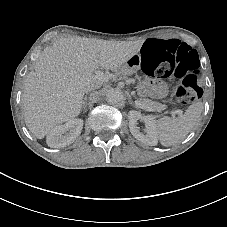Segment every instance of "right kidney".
<instances>
[{
	"label": "right kidney",
	"mask_w": 227,
	"mask_h": 227,
	"mask_svg": "<svg viewBox=\"0 0 227 227\" xmlns=\"http://www.w3.org/2000/svg\"><path fill=\"white\" fill-rule=\"evenodd\" d=\"M82 119H71L64 125L55 126L46 136V143L51 148H62L72 144L81 134Z\"/></svg>",
	"instance_id": "obj_1"
}]
</instances>
